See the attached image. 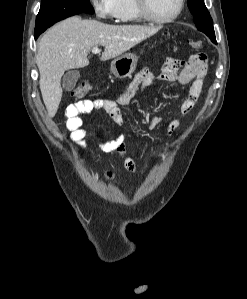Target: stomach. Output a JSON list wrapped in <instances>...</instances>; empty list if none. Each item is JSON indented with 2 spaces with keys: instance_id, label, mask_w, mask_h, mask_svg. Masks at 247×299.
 I'll use <instances>...</instances> for the list:
<instances>
[{
  "instance_id": "stomach-1",
  "label": "stomach",
  "mask_w": 247,
  "mask_h": 299,
  "mask_svg": "<svg viewBox=\"0 0 247 299\" xmlns=\"http://www.w3.org/2000/svg\"><path fill=\"white\" fill-rule=\"evenodd\" d=\"M137 62L138 57L135 54L126 53L112 61L110 70L117 78H129L134 73Z\"/></svg>"
}]
</instances>
